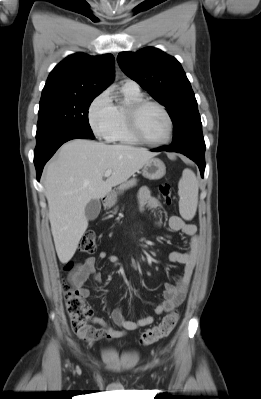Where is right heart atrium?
Returning <instances> with one entry per match:
<instances>
[{
  "label": "right heart atrium",
  "instance_id": "d8ad5b80",
  "mask_svg": "<svg viewBox=\"0 0 261 399\" xmlns=\"http://www.w3.org/2000/svg\"><path fill=\"white\" fill-rule=\"evenodd\" d=\"M88 122L93 133L110 140L115 124V106L108 91L101 92L88 108Z\"/></svg>",
  "mask_w": 261,
  "mask_h": 399
}]
</instances>
